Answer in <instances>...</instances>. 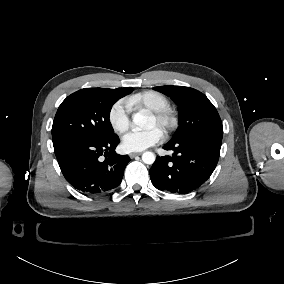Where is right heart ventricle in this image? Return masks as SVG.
<instances>
[{
	"mask_svg": "<svg viewBox=\"0 0 284 284\" xmlns=\"http://www.w3.org/2000/svg\"><path fill=\"white\" fill-rule=\"evenodd\" d=\"M133 101L153 112L168 110L170 108L168 97L155 90H146L137 95Z\"/></svg>",
	"mask_w": 284,
	"mask_h": 284,
	"instance_id": "obj_1",
	"label": "right heart ventricle"
}]
</instances>
